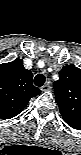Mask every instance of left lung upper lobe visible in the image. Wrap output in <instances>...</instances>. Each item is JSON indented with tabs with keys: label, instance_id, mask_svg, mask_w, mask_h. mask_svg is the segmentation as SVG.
Segmentation results:
<instances>
[{
	"label": "left lung upper lobe",
	"instance_id": "left-lung-upper-lobe-1",
	"mask_svg": "<svg viewBox=\"0 0 81 155\" xmlns=\"http://www.w3.org/2000/svg\"><path fill=\"white\" fill-rule=\"evenodd\" d=\"M54 82L56 101L64 121L81 124V69L66 65Z\"/></svg>",
	"mask_w": 81,
	"mask_h": 155
}]
</instances>
